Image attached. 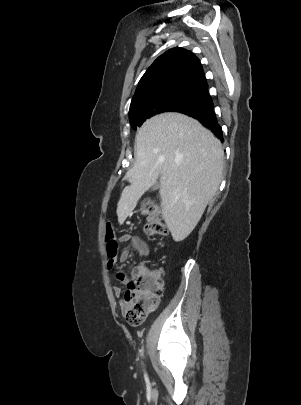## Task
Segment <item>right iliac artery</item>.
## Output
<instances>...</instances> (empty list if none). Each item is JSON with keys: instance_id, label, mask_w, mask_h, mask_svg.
Wrapping results in <instances>:
<instances>
[{"instance_id": "obj_1", "label": "right iliac artery", "mask_w": 301, "mask_h": 405, "mask_svg": "<svg viewBox=\"0 0 301 405\" xmlns=\"http://www.w3.org/2000/svg\"><path fill=\"white\" fill-rule=\"evenodd\" d=\"M140 352L143 354V349H141Z\"/></svg>"}]
</instances>
